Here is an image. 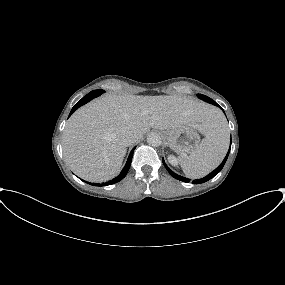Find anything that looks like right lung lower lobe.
Instances as JSON below:
<instances>
[{"label": "right lung lower lobe", "mask_w": 285, "mask_h": 285, "mask_svg": "<svg viewBox=\"0 0 285 285\" xmlns=\"http://www.w3.org/2000/svg\"><path fill=\"white\" fill-rule=\"evenodd\" d=\"M98 96H99V93H96V94L89 93L88 95H86L85 97H83L79 102H77V103L74 105V107L72 108V110H71V112H70V115L73 114V112H74L75 110H77L80 106L86 104L87 102H89L90 100H92L93 98L98 97ZM70 115H69V116H70ZM134 149H135V148H133V149L131 150V152H130V154H129V157H128V160H127V162H126V164H125V166H124V168H123V170L121 171V174H120L119 176H117V177L114 178L113 180H110V181H108V182H106V183H101V184L89 183V184H91V185H93V186H107V185H111V184L117 183V182H119L120 180H122V179L126 176L128 170H129V168H130Z\"/></svg>", "instance_id": "obj_1"}]
</instances>
